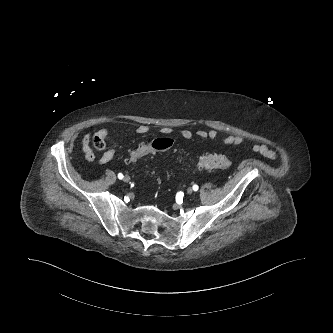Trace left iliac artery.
Masks as SVG:
<instances>
[{"label":"left iliac artery","instance_id":"44dca946","mask_svg":"<svg viewBox=\"0 0 333 333\" xmlns=\"http://www.w3.org/2000/svg\"><path fill=\"white\" fill-rule=\"evenodd\" d=\"M198 189H199L198 185H196V184L193 185V190H194V191H197Z\"/></svg>","mask_w":333,"mask_h":333}]
</instances>
